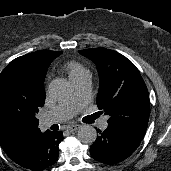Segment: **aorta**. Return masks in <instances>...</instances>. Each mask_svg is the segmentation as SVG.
Returning <instances> with one entry per match:
<instances>
[{
    "mask_svg": "<svg viewBox=\"0 0 171 171\" xmlns=\"http://www.w3.org/2000/svg\"><path fill=\"white\" fill-rule=\"evenodd\" d=\"M48 92L52 98L62 100L70 94L71 84L63 78L54 79L49 84ZM77 137L84 144H93L96 140L97 132L93 126L87 124L79 128Z\"/></svg>",
    "mask_w": 171,
    "mask_h": 171,
    "instance_id": "762f6f07",
    "label": "aorta"
}]
</instances>
